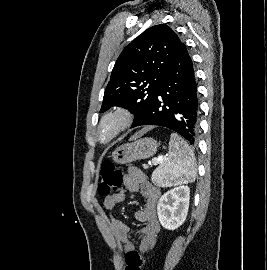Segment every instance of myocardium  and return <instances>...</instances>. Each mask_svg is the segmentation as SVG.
<instances>
[{
  "instance_id": "obj_1",
  "label": "myocardium",
  "mask_w": 267,
  "mask_h": 270,
  "mask_svg": "<svg viewBox=\"0 0 267 270\" xmlns=\"http://www.w3.org/2000/svg\"><path fill=\"white\" fill-rule=\"evenodd\" d=\"M133 122L132 112L124 106H115L103 113L96 126L95 137L104 144L110 143L128 129ZM107 123L115 124L113 132L106 139L101 136V131Z\"/></svg>"
}]
</instances>
